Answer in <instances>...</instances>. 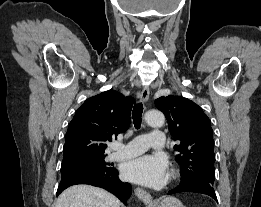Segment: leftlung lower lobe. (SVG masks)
Returning <instances> with one entry per match:
<instances>
[{
	"label": "left lung lower lobe",
	"instance_id": "1",
	"mask_svg": "<svg viewBox=\"0 0 261 207\" xmlns=\"http://www.w3.org/2000/svg\"><path fill=\"white\" fill-rule=\"evenodd\" d=\"M188 192L206 194L217 201V197L212 185L203 181L181 180L177 187L168 192V195Z\"/></svg>",
	"mask_w": 261,
	"mask_h": 207
}]
</instances>
